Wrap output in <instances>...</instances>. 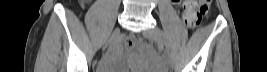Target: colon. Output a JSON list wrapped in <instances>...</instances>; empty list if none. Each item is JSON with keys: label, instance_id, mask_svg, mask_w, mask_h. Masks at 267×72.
Instances as JSON below:
<instances>
[{"label": "colon", "instance_id": "obj_1", "mask_svg": "<svg viewBox=\"0 0 267 72\" xmlns=\"http://www.w3.org/2000/svg\"><path fill=\"white\" fill-rule=\"evenodd\" d=\"M194 2L192 14L197 16L198 19L208 16L210 12L211 0H197Z\"/></svg>", "mask_w": 267, "mask_h": 72}]
</instances>
